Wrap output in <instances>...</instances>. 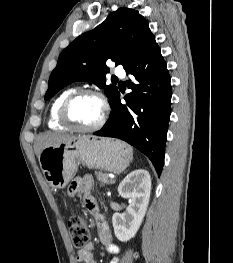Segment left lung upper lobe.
I'll return each mask as SVG.
<instances>
[{"label": "left lung upper lobe", "instance_id": "obj_1", "mask_svg": "<svg viewBox=\"0 0 233 263\" xmlns=\"http://www.w3.org/2000/svg\"><path fill=\"white\" fill-rule=\"evenodd\" d=\"M155 39L149 25L138 11L120 8L92 31L76 38L59 56L56 68L50 75L45 100L66 85L90 81L104 88L110 106L118 95L117 87L106 85V61L126 68L148 44Z\"/></svg>", "mask_w": 233, "mask_h": 263}]
</instances>
